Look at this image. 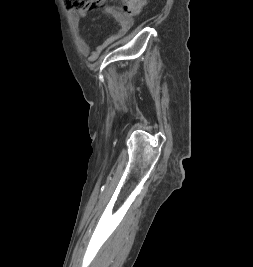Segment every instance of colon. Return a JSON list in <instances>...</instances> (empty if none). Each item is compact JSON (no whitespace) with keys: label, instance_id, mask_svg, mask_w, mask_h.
I'll return each mask as SVG.
<instances>
[{"label":"colon","instance_id":"colon-1","mask_svg":"<svg viewBox=\"0 0 253 267\" xmlns=\"http://www.w3.org/2000/svg\"><path fill=\"white\" fill-rule=\"evenodd\" d=\"M105 0H64L68 9L88 11L101 7ZM147 0H122V11L128 16L139 15L146 6Z\"/></svg>","mask_w":253,"mask_h":267}]
</instances>
